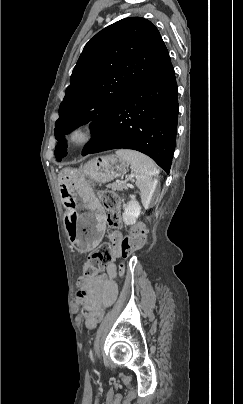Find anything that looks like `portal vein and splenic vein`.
<instances>
[{
    "instance_id": "obj_1",
    "label": "portal vein and splenic vein",
    "mask_w": 243,
    "mask_h": 404,
    "mask_svg": "<svg viewBox=\"0 0 243 404\" xmlns=\"http://www.w3.org/2000/svg\"><path fill=\"white\" fill-rule=\"evenodd\" d=\"M130 181L134 182L135 181V175L134 174H130L129 175Z\"/></svg>"
}]
</instances>
